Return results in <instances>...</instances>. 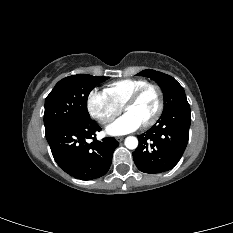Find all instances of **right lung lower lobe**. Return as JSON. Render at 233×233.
<instances>
[{"label":"right lung lower lobe","mask_w":233,"mask_h":233,"mask_svg":"<svg viewBox=\"0 0 233 233\" xmlns=\"http://www.w3.org/2000/svg\"><path fill=\"white\" fill-rule=\"evenodd\" d=\"M98 131L100 126L89 118L55 126L45 134L56 163L71 176L90 180L107 173L119 145L114 138L96 140Z\"/></svg>","instance_id":"1"}]
</instances>
